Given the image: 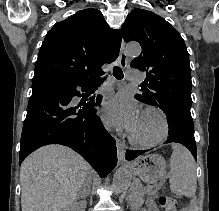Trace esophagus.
Here are the masks:
<instances>
[{
    "mask_svg": "<svg viewBox=\"0 0 219 211\" xmlns=\"http://www.w3.org/2000/svg\"><path fill=\"white\" fill-rule=\"evenodd\" d=\"M127 60L128 58H127V54L125 53V42L122 38L119 56H118V63L122 68H126ZM117 159L119 163L125 162V150L120 142H117Z\"/></svg>",
    "mask_w": 219,
    "mask_h": 211,
    "instance_id": "1",
    "label": "esophagus"
}]
</instances>
